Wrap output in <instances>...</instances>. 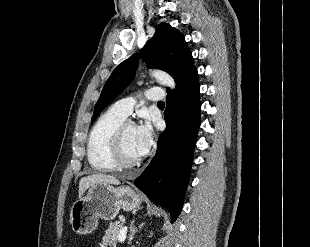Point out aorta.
I'll return each instance as SVG.
<instances>
[{"mask_svg": "<svg viewBox=\"0 0 310 247\" xmlns=\"http://www.w3.org/2000/svg\"><path fill=\"white\" fill-rule=\"evenodd\" d=\"M150 74L153 78L157 79L164 85L170 87L171 89H175V81L168 73L160 70H152Z\"/></svg>", "mask_w": 310, "mask_h": 247, "instance_id": "762f6f07", "label": "aorta"}]
</instances>
